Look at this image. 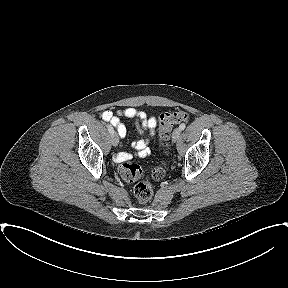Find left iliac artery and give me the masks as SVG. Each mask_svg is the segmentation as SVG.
<instances>
[{
  "instance_id": "1",
  "label": "left iliac artery",
  "mask_w": 288,
  "mask_h": 288,
  "mask_svg": "<svg viewBox=\"0 0 288 288\" xmlns=\"http://www.w3.org/2000/svg\"><path fill=\"white\" fill-rule=\"evenodd\" d=\"M185 127H186V125H185L184 123H182V124L179 126V129H180V130H184Z\"/></svg>"
}]
</instances>
